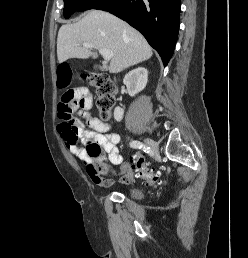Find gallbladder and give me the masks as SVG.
I'll use <instances>...</instances> for the list:
<instances>
[{
    "instance_id": "gallbladder-1",
    "label": "gallbladder",
    "mask_w": 248,
    "mask_h": 258,
    "mask_svg": "<svg viewBox=\"0 0 248 258\" xmlns=\"http://www.w3.org/2000/svg\"><path fill=\"white\" fill-rule=\"evenodd\" d=\"M100 69H101V70H105V67L102 66V67H100Z\"/></svg>"
}]
</instances>
